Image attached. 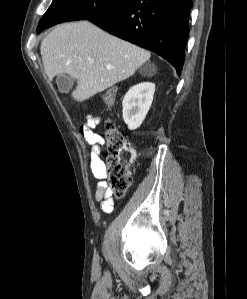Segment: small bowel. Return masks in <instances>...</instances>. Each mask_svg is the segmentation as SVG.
Returning a JSON list of instances; mask_svg holds the SVG:
<instances>
[{"label": "small bowel", "mask_w": 247, "mask_h": 299, "mask_svg": "<svg viewBox=\"0 0 247 299\" xmlns=\"http://www.w3.org/2000/svg\"><path fill=\"white\" fill-rule=\"evenodd\" d=\"M99 122L100 117L89 115L86 118V122L80 126V135L88 144L91 145L90 168L97 179H101L103 177L104 168V163L101 159L104 140L101 135L94 131ZM95 201L100 204L104 213L109 214L113 211L114 200L112 198V193L103 181H100L97 185Z\"/></svg>", "instance_id": "1"}]
</instances>
